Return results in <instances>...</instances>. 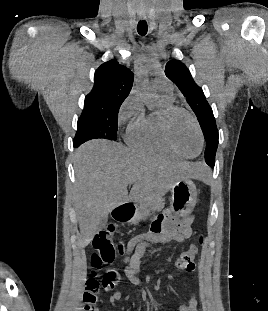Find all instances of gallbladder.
Listing matches in <instances>:
<instances>
[{
	"label": "gallbladder",
	"mask_w": 268,
	"mask_h": 311,
	"mask_svg": "<svg viewBox=\"0 0 268 311\" xmlns=\"http://www.w3.org/2000/svg\"><path fill=\"white\" fill-rule=\"evenodd\" d=\"M106 223H107L106 220H103V221H102V224H101V228H102V227H105V226H106Z\"/></svg>",
	"instance_id": "gallbladder-1"
}]
</instances>
